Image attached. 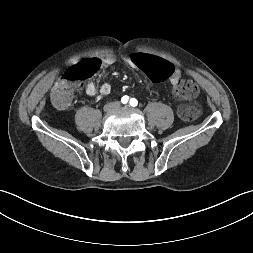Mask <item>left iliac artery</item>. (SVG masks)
Instances as JSON below:
<instances>
[{"label": "left iliac artery", "mask_w": 253, "mask_h": 253, "mask_svg": "<svg viewBox=\"0 0 253 253\" xmlns=\"http://www.w3.org/2000/svg\"><path fill=\"white\" fill-rule=\"evenodd\" d=\"M137 104H138V101H137L135 98H132V99L130 100V105H131V106L135 107V106H137Z\"/></svg>", "instance_id": "left-iliac-artery-1"}]
</instances>
